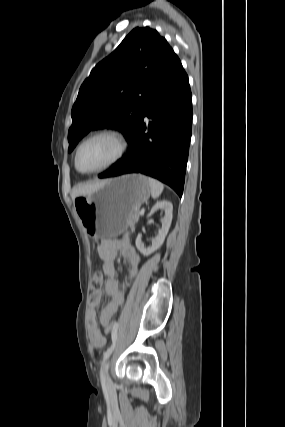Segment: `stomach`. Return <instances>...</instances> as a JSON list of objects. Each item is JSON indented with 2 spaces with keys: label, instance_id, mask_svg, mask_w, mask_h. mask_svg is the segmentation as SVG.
Here are the masks:
<instances>
[{
  "label": "stomach",
  "instance_id": "0dacf381",
  "mask_svg": "<svg viewBox=\"0 0 285 427\" xmlns=\"http://www.w3.org/2000/svg\"><path fill=\"white\" fill-rule=\"evenodd\" d=\"M150 193L146 176L129 174L107 180L92 194L76 197L73 205L90 236L111 238L127 229Z\"/></svg>",
  "mask_w": 285,
  "mask_h": 427
}]
</instances>
